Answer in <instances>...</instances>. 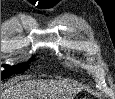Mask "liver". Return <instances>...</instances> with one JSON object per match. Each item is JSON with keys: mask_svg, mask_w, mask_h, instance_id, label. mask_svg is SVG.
<instances>
[{"mask_svg": "<svg viewBox=\"0 0 115 99\" xmlns=\"http://www.w3.org/2000/svg\"><path fill=\"white\" fill-rule=\"evenodd\" d=\"M67 91L64 82L31 80L11 85L1 93V99H63Z\"/></svg>", "mask_w": 115, "mask_h": 99, "instance_id": "liver-1", "label": "liver"}]
</instances>
